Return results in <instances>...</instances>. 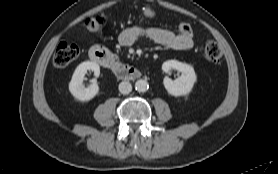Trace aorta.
<instances>
[{"label":"aorta","mask_w":278,"mask_h":174,"mask_svg":"<svg viewBox=\"0 0 278 174\" xmlns=\"http://www.w3.org/2000/svg\"><path fill=\"white\" fill-rule=\"evenodd\" d=\"M149 88L148 82L144 79H139L135 83V89L138 92H146Z\"/></svg>","instance_id":"aorta-1"}]
</instances>
